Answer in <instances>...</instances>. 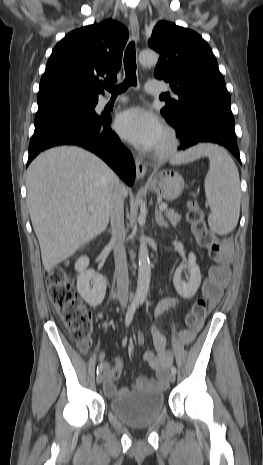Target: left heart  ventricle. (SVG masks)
Masks as SVG:
<instances>
[{
  "instance_id": "left-heart-ventricle-1",
  "label": "left heart ventricle",
  "mask_w": 263,
  "mask_h": 465,
  "mask_svg": "<svg viewBox=\"0 0 263 465\" xmlns=\"http://www.w3.org/2000/svg\"><path fill=\"white\" fill-rule=\"evenodd\" d=\"M163 144V138L161 139L160 143L158 144L157 147L161 146Z\"/></svg>"
}]
</instances>
